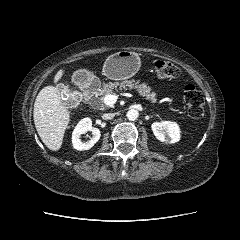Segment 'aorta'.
Listing matches in <instances>:
<instances>
[{"label":"aorta","instance_id":"obj_1","mask_svg":"<svg viewBox=\"0 0 240 240\" xmlns=\"http://www.w3.org/2000/svg\"><path fill=\"white\" fill-rule=\"evenodd\" d=\"M126 115H127V118L129 120L134 121V120H136L138 118L139 112L137 110H135V109H130V110H128Z\"/></svg>","mask_w":240,"mask_h":240}]
</instances>
